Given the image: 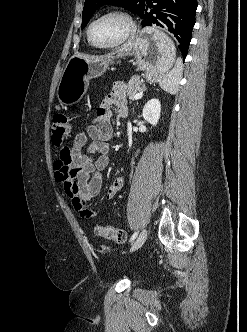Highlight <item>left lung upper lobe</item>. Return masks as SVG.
<instances>
[{
  "label": "left lung upper lobe",
  "mask_w": 247,
  "mask_h": 332,
  "mask_svg": "<svg viewBox=\"0 0 247 332\" xmlns=\"http://www.w3.org/2000/svg\"><path fill=\"white\" fill-rule=\"evenodd\" d=\"M146 0H85L82 12V25L84 29L94 12L103 5L121 6L127 10L137 13L139 16L145 7Z\"/></svg>",
  "instance_id": "1"
}]
</instances>
